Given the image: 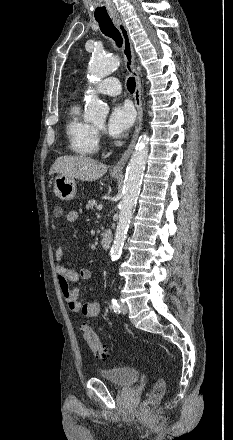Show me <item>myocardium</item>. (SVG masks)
<instances>
[{
    "label": "myocardium",
    "mask_w": 233,
    "mask_h": 440,
    "mask_svg": "<svg viewBox=\"0 0 233 440\" xmlns=\"http://www.w3.org/2000/svg\"><path fill=\"white\" fill-rule=\"evenodd\" d=\"M95 129H96L97 132H100L102 130V128H99L97 126L95 127Z\"/></svg>",
    "instance_id": "f54148a6"
}]
</instances>
